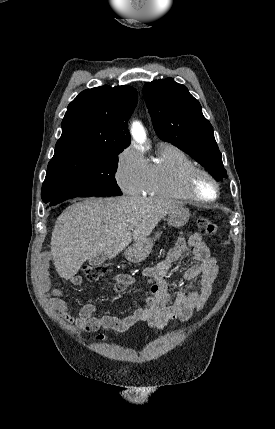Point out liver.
I'll use <instances>...</instances> for the list:
<instances>
[{"mask_svg":"<svg viewBox=\"0 0 275 429\" xmlns=\"http://www.w3.org/2000/svg\"><path fill=\"white\" fill-rule=\"evenodd\" d=\"M172 200L141 197L87 198L66 208L51 236V254L63 279L74 277L97 254L113 259L131 242L144 240L158 222L180 207Z\"/></svg>","mask_w":275,"mask_h":429,"instance_id":"6515ba94","label":"liver"}]
</instances>
